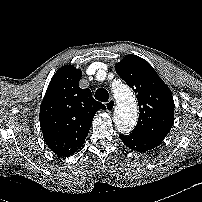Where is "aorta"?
<instances>
[{
	"instance_id": "aorta-1",
	"label": "aorta",
	"mask_w": 202,
	"mask_h": 202,
	"mask_svg": "<svg viewBox=\"0 0 202 202\" xmlns=\"http://www.w3.org/2000/svg\"><path fill=\"white\" fill-rule=\"evenodd\" d=\"M118 102L114 112V122L122 133H129L135 127L138 119L136 100L131 89L121 85L114 90Z\"/></svg>"
}]
</instances>
